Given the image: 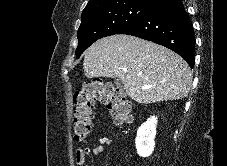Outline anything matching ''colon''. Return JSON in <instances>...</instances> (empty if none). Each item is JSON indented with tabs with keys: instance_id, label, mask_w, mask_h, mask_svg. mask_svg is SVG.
Returning a JSON list of instances; mask_svg holds the SVG:
<instances>
[{
	"instance_id": "obj_1",
	"label": "colon",
	"mask_w": 227,
	"mask_h": 166,
	"mask_svg": "<svg viewBox=\"0 0 227 166\" xmlns=\"http://www.w3.org/2000/svg\"><path fill=\"white\" fill-rule=\"evenodd\" d=\"M95 100L109 109L115 125L121 126L131 118L132 104L124 92L101 79H94L73 96V132L77 140H84L90 132Z\"/></svg>"
}]
</instances>
